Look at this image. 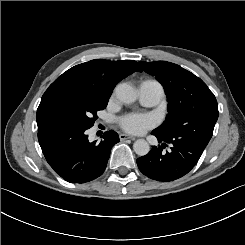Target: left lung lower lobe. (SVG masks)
Returning a JSON list of instances; mask_svg holds the SVG:
<instances>
[{
    "label": "left lung lower lobe",
    "mask_w": 245,
    "mask_h": 245,
    "mask_svg": "<svg viewBox=\"0 0 245 245\" xmlns=\"http://www.w3.org/2000/svg\"><path fill=\"white\" fill-rule=\"evenodd\" d=\"M214 126L207 122L197 126V130L165 135L153 130L152 134L162 143L154 146L145 156L137 159L139 170L147 177L162 182H170L188 174L197 164L205 147L212 137ZM166 143L171 151L164 152Z\"/></svg>",
    "instance_id": "1"
}]
</instances>
